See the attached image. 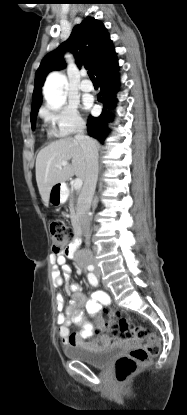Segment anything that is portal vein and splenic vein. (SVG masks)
Returning <instances> with one entry per match:
<instances>
[{
    "mask_svg": "<svg viewBox=\"0 0 187 415\" xmlns=\"http://www.w3.org/2000/svg\"><path fill=\"white\" fill-rule=\"evenodd\" d=\"M66 165H68V162L67 161H63V162L58 163L57 164V167H62V166H66ZM82 184H83L82 179L76 178L74 180V183H73V188L75 190H79L82 187Z\"/></svg>",
    "mask_w": 187,
    "mask_h": 415,
    "instance_id": "portal-vein-and-splenic-vein-1",
    "label": "portal vein and splenic vein"
}]
</instances>
